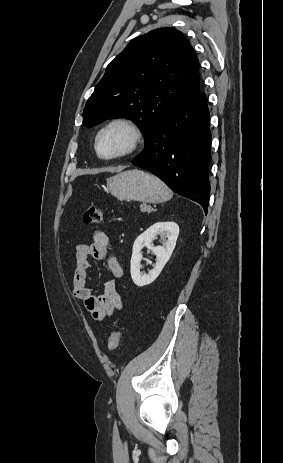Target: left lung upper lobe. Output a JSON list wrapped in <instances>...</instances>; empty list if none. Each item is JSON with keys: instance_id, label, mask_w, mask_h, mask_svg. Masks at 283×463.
<instances>
[{"instance_id": "left-lung-upper-lobe-1", "label": "left lung upper lobe", "mask_w": 283, "mask_h": 463, "mask_svg": "<svg viewBox=\"0 0 283 463\" xmlns=\"http://www.w3.org/2000/svg\"><path fill=\"white\" fill-rule=\"evenodd\" d=\"M198 58L184 35L160 28L132 40L107 66L83 111V124L134 119L145 143L199 90Z\"/></svg>"}]
</instances>
